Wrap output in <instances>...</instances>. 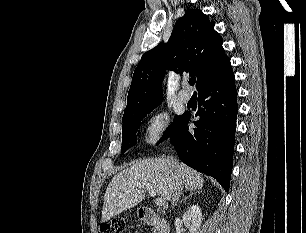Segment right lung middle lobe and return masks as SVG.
Segmentation results:
<instances>
[{
    "instance_id": "dd1d6c3e",
    "label": "right lung middle lobe",
    "mask_w": 306,
    "mask_h": 233,
    "mask_svg": "<svg viewBox=\"0 0 306 233\" xmlns=\"http://www.w3.org/2000/svg\"><path fill=\"white\" fill-rule=\"evenodd\" d=\"M159 103L151 105L149 107L143 108L137 112H134L130 115L123 117V127H122V147L121 152L124 153L127 149L132 147L137 143L136 133L140 126L142 119L150 113L155 107H157ZM182 116H176L174 118L173 124L169 126L167 131L164 132L163 137L159 140L158 143L162 142L163 140L167 139L171 136L174 131L177 129L179 122L182 119Z\"/></svg>"
}]
</instances>
